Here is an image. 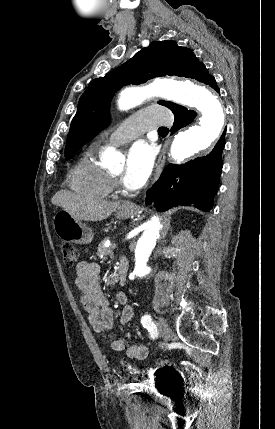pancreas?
<instances>
[{"mask_svg":"<svg viewBox=\"0 0 275 429\" xmlns=\"http://www.w3.org/2000/svg\"><path fill=\"white\" fill-rule=\"evenodd\" d=\"M111 248H112V247L107 248V247L105 246V241H102V242L99 244V246H98L97 255H98V256H104V257H105V256H107V255H110V254L112 253Z\"/></svg>","mask_w":275,"mask_h":429,"instance_id":"pancreas-1","label":"pancreas"}]
</instances>
